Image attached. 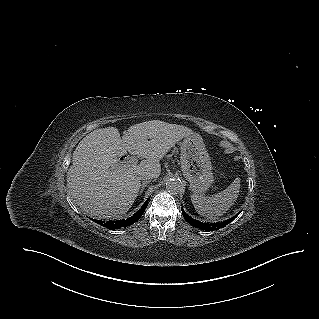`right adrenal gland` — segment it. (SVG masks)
Listing matches in <instances>:
<instances>
[{
	"label": "right adrenal gland",
	"instance_id": "right-adrenal-gland-1",
	"mask_svg": "<svg viewBox=\"0 0 319 319\" xmlns=\"http://www.w3.org/2000/svg\"><path fill=\"white\" fill-rule=\"evenodd\" d=\"M150 181H143L140 187V191L138 195H141L143 193L144 188L149 184Z\"/></svg>",
	"mask_w": 319,
	"mask_h": 319
}]
</instances>
